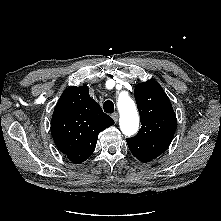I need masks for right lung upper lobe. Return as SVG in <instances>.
Wrapping results in <instances>:
<instances>
[{
	"mask_svg": "<svg viewBox=\"0 0 221 221\" xmlns=\"http://www.w3.org/2000/svg\"><path fill=\"white\" fill-rule=\"evenodd\" d=\"M114 124L103 113L86 85L69 87L56 104L51 132L58 149L74 163H82L94 152L98 134Z\"/></svg>",
	"mask_w": 221,
	"mask_h": 221,
	"instance_id": "1",
	"label": "right lung upper lobe"
}]
</instances>
